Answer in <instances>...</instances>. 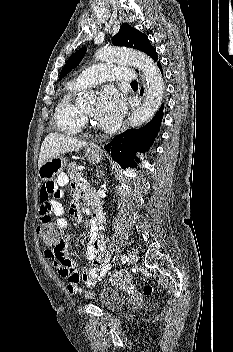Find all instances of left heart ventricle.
Instances as JSON below:
<instances>
[{"label": "left heart ventricle", "instance_id": "left-heart-ventricle-1", "mask_svg": "<svg viewBox=\"0 0 233 352\" xmlns=\"http://www.w3.org/2000/svg\"><path fill=\"white\" fill-rule=\"evenodd\" d=\"M94 104L91 103L83 108V110L93 119L94 118Z\"/></svg>", "mask_w": 233, "mask_h": 352}]
</instances>
